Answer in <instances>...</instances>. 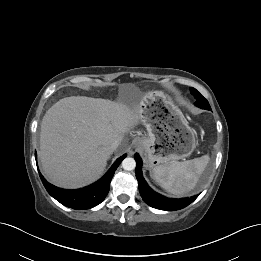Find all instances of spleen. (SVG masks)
<instances>
[{
	"mask_svg": "<svg viewBox=\"0 0 261 261\" xmlns=\"http://www.w3.org/2000/svg\"><path fill=\"white\" fill-rule=\"evenodd\" d=\"M209 156L155 167L150 176L166 191L182 195L191 191L209 162Z\"/></svg>",
	"mask_w": 261,
	"mask_h": 261,
	"instance_id": "spleen-1",
	"label": "spleen"
}]
</instances>
